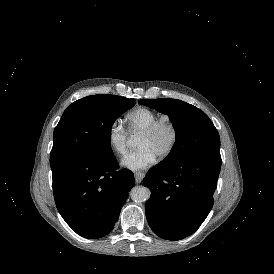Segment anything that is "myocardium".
Listing matches in <instances>:
<instances>
[{
	"label": "myocardium",
	"mask_w": 274,
	"mask_h": 274,
	"mask_svg": "<svg viewBox=\"0 0 274 274\" xmlns=\"http://www.w3.org/2000/svg\"><path fill=\"white\" fill-rule=\"evenodd\" d=\"M161 129H167L169 131L170 143L168 148L157 158L159 161L168 158L175 150L178 141V131L175 124L169 119H160L140 133L142 136L151 137Z\"/></svg>",
	"instance_id": "1"
}]
</instances>
